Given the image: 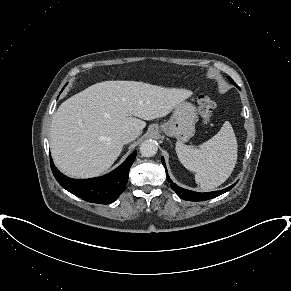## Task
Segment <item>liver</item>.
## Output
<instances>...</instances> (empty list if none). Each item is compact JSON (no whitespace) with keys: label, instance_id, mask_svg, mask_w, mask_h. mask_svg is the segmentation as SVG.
I'll list each match as a JSON object with an SVG mask.
<instances>
[{"label":"liver","instance_id":"6515ba94","mask_svg":"<svg viewBox=\"0 0 291 291\" xmlns=\"http://www.w3.org/2000/svg\"><path fill=\"white\" fill-rule=\"evenodd\" d=\"M191 95L189 90L136 81L94 84L64 101L54 114L52 158L67 176L96 177L120 155L124 132L140 133L143 120L165 117Z\"/></svg>","mask_w":291,"mask_h":291}]
</instances>
